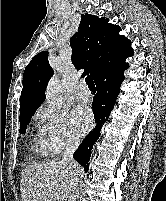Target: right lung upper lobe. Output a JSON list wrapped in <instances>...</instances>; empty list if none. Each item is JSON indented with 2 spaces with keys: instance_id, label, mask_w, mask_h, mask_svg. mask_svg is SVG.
Segmentation results:
<instances>
[{
  "instance_id": "cb5924a9",
  "label": "right lung upper lobe",
  "mask_w": 166,
  "mask_h": 201,
  "mask_svg": "<svg viewBox=\"0 0 166 201\" xmlns=\"http://www.w3.org/2000/svg\"><path fill=\"white\" fill-rule=\"evenodd\" d=\"M109 19L82 14L78 32L70 39L72 61L77 69H84L95 82L108 69L126 65L132 56L131 41L119 35L121 28L108 23ZM48 53L37 54L23 73V89L20 97V117L34 114L45 99V89L53 70Z\"/></svg>"
}]
</instances>
